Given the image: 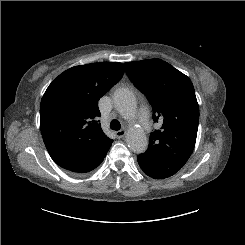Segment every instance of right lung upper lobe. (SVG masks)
<instances>
[{
    "mask_svg": "<svg viewBox=\"0 0 245 245\" xmlns=\"http://www.w3.org/2000/svg\"><path fill=\"white\" fill-rule=\"evenodd\" d=\"M124 73L118 62L72 67L47 88L40 106L46 148L60 167L74 172L113 142L101 129L98 100Z\"/></svg>",
    "mask_w": 245,
    "mask_h": 245,
    "instance_id": "right-lung-upper-lobe-1",
    "label": "right lung upper lobe"
}]
</instances>
